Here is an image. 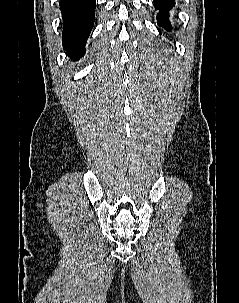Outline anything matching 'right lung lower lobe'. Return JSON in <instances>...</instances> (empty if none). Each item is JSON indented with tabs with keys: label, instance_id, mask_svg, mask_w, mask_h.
<instances>
[{
	"label": "right lung lower lobe",
	"instance_id": "98d812e1",
	"mask_svg": "<svg viewBox=\"0 0 239 303\" xmlns=\"http://www.w3.org/2000/svg\"><path fill=\"white\" fill-rule=\"evenodd\" d=\"M59 5L64 24L63 47L68 56L78 60L94 25L96 0H60Z\"/></svg>",
	"mask_w": 239,
	"mask_h": 303
}]
</instances>
